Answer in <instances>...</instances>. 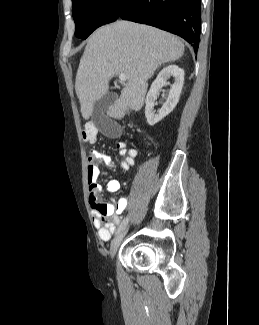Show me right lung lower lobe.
<instances>
[{"instance_id":"1","label":"right lung lower lobe","mask_w":259,"mask_h":325,"mask_svg":"<svg viewBox=\"0 0 259 325\" xmlns=\"http://www.w3.org/2000/svg\"><path fill=\"white\" fill-rule=\"evenodd\" d=\"M117 19L148 24L174 33L184 38L195 52L198 50L201 0H127Z\"/></svg>"}]
</instances>
